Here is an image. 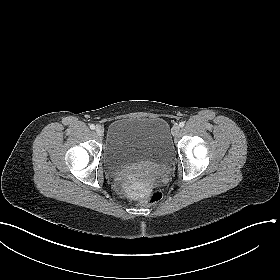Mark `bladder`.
Listing matches in <instances>:
<instances>
[{"label": "bladder", "instance_id": "bladder-1", "mask_svg": "<svg viewBox=\"0 0 280 280\" xmlns=\"http://www.w3.org/2000/svg\"><path fill=\"white\" fill-rule=\"evenodd\" d=\"M172 156L170 129L163 118H119L107 130L103 162L110 172L142 162L163 164Z\"/></svg>", "mask_w": 280, "mask_h": 280}]
</instances>
